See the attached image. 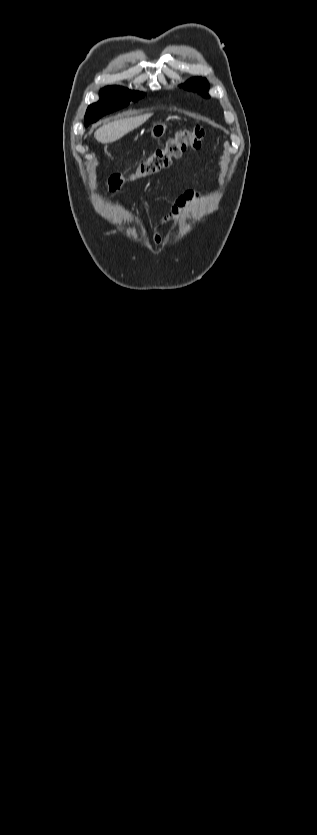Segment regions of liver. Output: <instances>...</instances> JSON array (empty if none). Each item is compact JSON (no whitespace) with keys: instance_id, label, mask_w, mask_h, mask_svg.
<instances>
[{"instance_id":"1","label":"liver","mask_w":317,"mask_h":835,"mask_svg":"<svg viewBox=\"0 0 317 835\" xmlns=\"http://www.w3.org/2000/svg\"><path fill=\"white\" fill-rule=\"evenodd\" d=\"M150 117L151 114H143L108 122L96 130L95 138L102 144L115 142L144 124Z\"/></svg>"}]
</instances>
